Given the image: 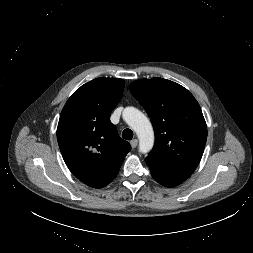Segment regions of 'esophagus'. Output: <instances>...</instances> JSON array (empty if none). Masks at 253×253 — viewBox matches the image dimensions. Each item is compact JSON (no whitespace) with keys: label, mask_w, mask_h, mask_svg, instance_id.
<instances>
[{"label":"esophagus","mask_w":253,"mask_h":253,"mask_svg":"<svg viewBox=\"0 0 253 253\" xmlns=\"http://www.w3.org/2000/svg\"><path fill=\"white\" fill-rule=\"evenodd\" d=\"M130 144H131V147L134 149V148H136V146L138 144V140L137 139H133V140H131Z\"/></svg>","instance_id":"obj_1"}]
</instances>
